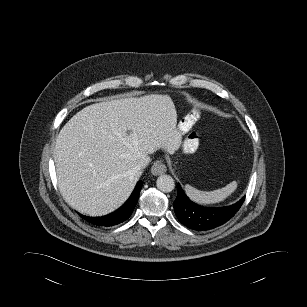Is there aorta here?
<instances>
[{"label": "aorta", "instance_id": "obj_1", "mask_svg": "<svg viewBox=\"0 0 307 307\" xmlns=\"http://www.w3.org/2000/svg\"><path fill=\"white\" fill-rule=\"evenodd\" d=\"M156 184L157 188L164 193L171 192L175 188L174 179L170 175L159 176Z\"/></svg>", "mask_w": 307, "mask_h": 307}]
</instances>
